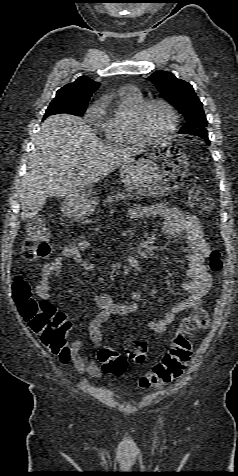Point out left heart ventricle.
<instances>
[{
    "label": "left heart ventricle",
    "mask_w": 238,
    "mask_h": 476,
    "mask_svg": "<svg viewBox=\"0 0 238 476\" xmlns=\"http://www.w3.org/2000/svg\"><path fill=\"white\" fill-rule=\"evenodd\" d=\"M170 122V114L161 104L150 105L142 118V126L150 135L162 134L169 127Z\"/></svg>",
    "instance_id": "left-heart-ventricle-1"
}]
</instances>
